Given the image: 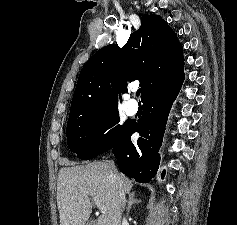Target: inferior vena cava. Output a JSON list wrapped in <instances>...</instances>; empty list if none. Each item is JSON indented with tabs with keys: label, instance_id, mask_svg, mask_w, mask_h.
Instances as JSON below:
<instances>
[{
	"label": "inferior vena cava",
	"instance_id": "602c4592",
	"mask_svg": "<svg viewBox=\"0 0 237 225\" xmlns=\"http://www.w3.org/2000/svg\"><path fill=\"white\" fill-rule=\"evenodd\" d=\"M110 164V168L112 170V172L116 175L117 174V171H116V167H115V164H114V161H110L109 162ZM120 198H121V202H122V207H124V204H125V193L124 191H120Z\"/></svg>",
	"mask_w": 237,
	"mask_h": 225
}]
</instances>
